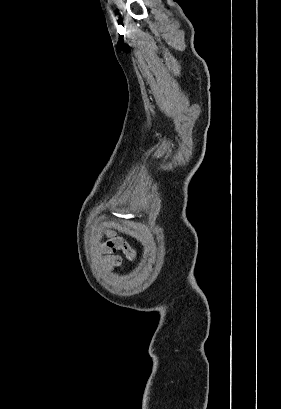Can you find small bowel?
<instances>
[{
	"mask_svg": "<svg viewBox=\"0 0 281 409\" xmlns=\"http://www.w3.org/2000/svg\"><path fill=\"white\" fill-rule=\"evenodd\" d=\"M96 245L105 252V262L110 269L123 268L122 258L116 254L118 250H122L129 258L137 259L139 257V252L132 250L131 245L121 238H112L105 243H97ZM130 263L133 265L135 262L132 260Z\"/></svg>",
	"mask_w": 281,
	"mask_h": 409,
	"instance_id": "obj_1",
	"label": "small bowel"
}]
</instances>
